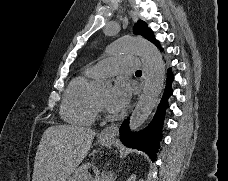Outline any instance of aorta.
I'll return each mask as SVG.
<instances>
[{"label": "aorta", "instance_id": "1", "mask_svg": "<svg viewBox=\"0 0 228 181\" xmlns=\"http://www.w3.org/2000/svg\"><path fill=\"white\" fill-rule=\"evenodd\" d=\"M108 55L120 53H135L142 56L149 68L145 88L130 117L129 126L131 130L138 129L151 114L157 105L165 79V63L157 47L143 38L124 37L107 47ZM99 90L110 87L108 81H99L96 84Z\"/></svg>", "mask_w": 228, "mask_h": 181}]
</instances>
